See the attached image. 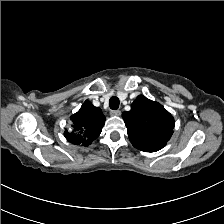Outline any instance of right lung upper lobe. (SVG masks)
I'll return each instance as SVG.
<instances>
[{
  "label": "right lung upper lobe",
  "instance_id": "right-lung-upper-lobe-1",
  "mask_svg": "<svg viewBox=\"0 0 224 224\" xmlns=\"http://www.w3.org/2000/svg\"><path fill=\"white\" fill-rule=\"evenodd\" d=\"M70 119L73 131L65 130L64 136L70 143L83 146H88L100 135L106 120L101 109L93 106L89 100Z\"/></svg>",
  "mask_w": 224,
  "mask_h": 224
}]
</instances>
